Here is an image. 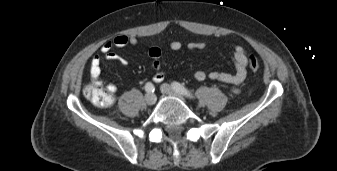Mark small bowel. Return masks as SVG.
I'll return each mask as SVG.
<instances>
[{"label": "small bowel", "instance_id": "small-bowel-1", "mask_svg": "<svg viewBox=\"0 0 337 171\" xmlns=\"http://www.w3.org/2000/svg\"><path fill=\"white\" fill-rule=\"evenodd\" d=\"M138 39L135 36L120 34L113 40H109L103 44L100 49V53L93 56L90 61V74L95 80H98L101 76V63L106 61H117L120 65L126 66L127 60L116 53L114 48L122 49L127 46H136ZM208 46L203 41H190L187 44L189 50H201ZM170 48L174 51H178L182 48V43L178 40H174L170 43ZM149 57L151 58L152 68L154 70L153 80L156 83H160L164 80V73L161 69V55L162 51L159 47H151L148 50ZM232 61L235 67L233 73L211 71L205 72L203 70H196L193 72V77L198 81H204L206 79L221 82L233 87L234 91H237L238 87L244 82L247 76V51L242 46H235L232 53ZM106 90L112 94L116 93L117 86L115 84H108Z\"/></svg>", "mask_w": 337, "mask_h": 171}]
</instances>
